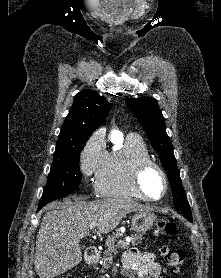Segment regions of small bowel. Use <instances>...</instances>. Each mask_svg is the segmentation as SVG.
<instances>
[{
	"mask_svg": "<svg viewBox=\"0 0 221 278\" xmlns=\"http://www.w3.org/2000/svg\"><path fill=\"white\" fill-rule=\"evenodd\" d=\"M122 274L128 278H160V266L153 253L133 249L124 255Z\"/></svg>",
	"mask_w": 221,
	"mask_h": 278,
	"instance_id": "1",
	"label": "small bowel"
}]
</instances>
